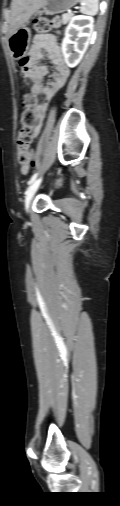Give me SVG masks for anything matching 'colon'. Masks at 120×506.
I'll list each match as a JSON object with an SVG mask.
<instances>
[{
	"label": "colon",
	"mask_w": 120,
	"mask_h": 506,
	"mask_svg": "<svg viewBox=\"0 0 120 506\" xmlns=\"http://www.w3.org/2000/svg\"><path fill=\"white\" fill-rule=\"evenodd\" d=\"M59 25L58 18L40 17L34 22V29L37 32L45 33ZM27 64V58L20 60V66L24 69ZM23 112L21 115V129L17 136V162L21 168V172L26 174L33 162V152L31 144L33 141L32 129L37 121L34 111L36 105V97L33 94H26L22 100Z\"/></svg>",
	"instance_id": "colon-1"
}]
</instances>
